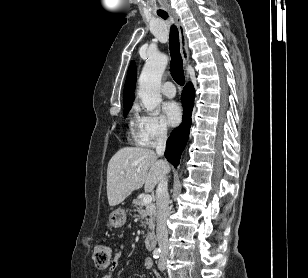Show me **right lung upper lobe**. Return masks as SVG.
<instances>
[{"label":"right lung upper lobe","instance_id":"1","mask_svg":"<svg viewBox=\"0 0 308 278\" xmlns=\"http://www.w3.org/2000/svg\"><path fill=\"white\" fill-rule=\"evenodd\" d=\"M136 67L134 62H132L129 66L127 79L124 87V96H123V103H132L134 101V88H135V81H136Z\"/></svg>","mask_w":308,"mask_h":278}]
</instances>
